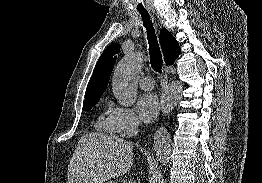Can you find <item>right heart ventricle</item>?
Wrapping results in <instances>:
<instances>
[{
    "mask_svg": "<svg viewBox=\"0 0 262 183\" xmlns=\"http://www.w3.org/2000/svg\"><path fill=\"white\" fill-rule=\"evenodd\" d=\"M96 128L109 134L118 133L111 121L110 115L105 116L104 114H101L96 122Z\"/></svg>",
    "mask_w": 262,
    "mask_h": 183,
    "instance_id": "right-heart-ventricle-1",
    "label": "right heart ventricle"
}]
</instances>
